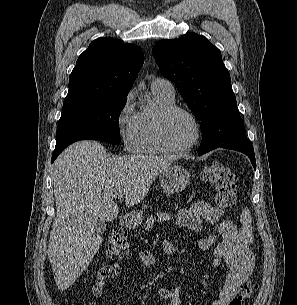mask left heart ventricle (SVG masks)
Listing matches in <instances>:
<instances>
[{
  "label": "left heart ventricle",
  "instance_id": "b2bd125f",
  "mask_svg": "<svg viewBox=\"0 0 297 305\" xmlns=\"http://www.w3.org/2000/svg\"><path fill=\"white\" fill-rule=\"evenodd\" d=\"M164 135L170 146L179 148L192 141L195 128L188 116L183 113H176L165 122Z\"/></svg>",
  "mask_w": 297,
  "mask_h": 305
}]
</instances>
